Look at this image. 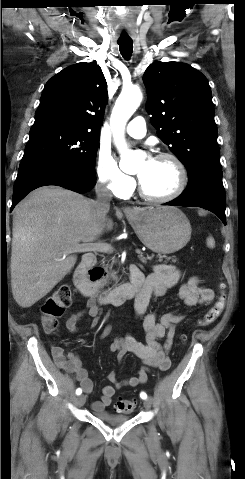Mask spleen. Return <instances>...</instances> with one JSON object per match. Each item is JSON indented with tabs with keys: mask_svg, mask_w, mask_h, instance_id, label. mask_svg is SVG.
I'll list each match as a JSON object with an SVG mask.
<instances>
[{
	"mask_svg": "<svg viewBox=\"0 0 245 479\" xmlns=\"http://www.w3.org/2000/svg\"><path fill=\"white\" fill-rule=\"evenodd\" d=\"M206 242H207V246H208L209 248H214V247H215V240H214V238H213L212 236H209V237L207 238Z\"/></svg>",
	"mask_w": 245,
	"mask_h": 479,
	"instance_id": "obj_1",
	"label": "spleen"
}]
</instances>
